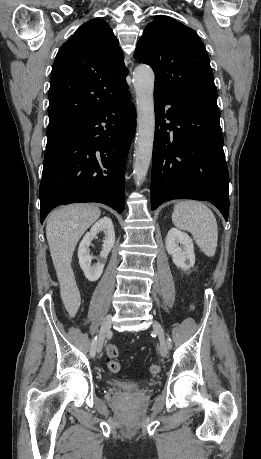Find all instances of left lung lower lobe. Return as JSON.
Wrapping results in <instances>:
<instances>
[{"label": "left lung lower lobe", "instance_id": "0a47b994", "mask_svg": "<svg viewBox=\"0 0 261 459\" xmlns=\"http://www.w3.org/2000/svg\"><path fill=\"white\" fill-rule=\"evenodd\" d=\"M154 105L152 210L173 199L207 200L227 221L229 175L219 109L186 105L158 91Z\"/></svg>", "mask_w": 261, "mask_h": 459}]
</instances>
